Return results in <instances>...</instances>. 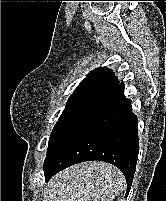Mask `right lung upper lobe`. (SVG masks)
Returning <instances> with one entry per match:
<instances>
[{
	"instance_id": "cb5924a9",
	"label": "right lung upper lobe",
	"mask_w": 166,
	"mask_h": 201,
	"mask_svg": "<svg viewBox=\"0 0 166 201\" xmlns=\"http://www.w3.org/2000/svg\"><path fill=\"white\" fill-rule=\"evenodd\" d=\"M119 85L117 77L111 69L97 68L90 72L79 84L69 100L86 97H107Z\"/></svg>"
}]
</instances>
